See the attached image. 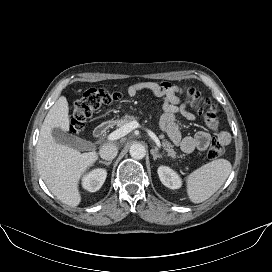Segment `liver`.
Returning a JSON list of instances; mask_svg holds the SVG:
<instances>
[{
  "instance_id": "6515ba94",
  "label": "liver",
  "mask_w": 272,
  "mask_h": 272,
  "mask_svg": "<svg viewBox=\"0 0 272 272\" xmlns=\"http://www.w3.org/2000/svg\"><path fill=\"white\" fill-rule=\"evenodd\" d=\"M69 106L61 96L50 108L41 126L36 148V161L41 178L51 193L62 203L76 207L81 202L79 181L96 162L95 151L80 153L78 150L56 142L54 128L69 130Z\"/></svg>"
}]
</instances>
